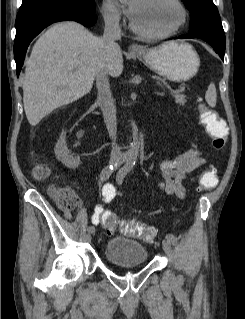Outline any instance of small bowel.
I'll use <instances>...</instances> for the list:
<instances>
[{"label":"small bowel","mask_w":245,"mask_h":319,"mask_svg":"<svg viewBox=\"0 0 245 319\" xmlns=\"http://www.w3.org/2000/svg\"><path fill=\"white\" fill-rule=\"evenodd\" d=\"M204 159L201 155L195 151H185L177 155L172 159H167L161 162L160 170L162 172V180L157 182L158 188L164 193L174 196L178 199H183L186 196V189L184 187V180L186 177L202 166ZM108 188L110 195H103L105 203L111 202L115 197L121 196V193L117 192L113 185L109 184ZM111 198V200H109ZM105 212L103 205H98L94 209L92 216L93 224H98ZM66 217H70V214L66 213Z\"/></svg>","instance_id":"c3829d8e"}]
</instances>
